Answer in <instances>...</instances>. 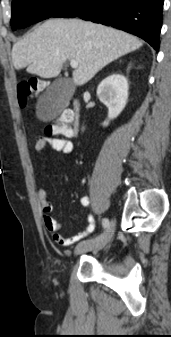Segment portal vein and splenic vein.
I'll use <instances>...</instances> for the list:
<instances>
[{
	"mask_svg": "<svg viewBox=\"0 0 171 337\" xmlns=\"http://www.w3.org/2000/svg\"><path fill=\"white\" fill-rule=\"evenodd\" d=\"M78 65H79L78 61H76V60H71V61H70V66H71L72 68H77Z\"/></svg>",
	"mask_w": 171,
	"mask_h": 337,
	"instance_id": "18ae733b",
	"label": "portal vein and splenic vein"
}]
</instances>
